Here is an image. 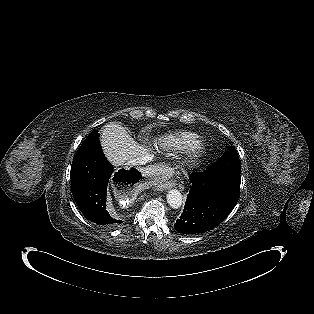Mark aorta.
<instances>
[{
    "mask_svg": "<svg viewBox=\"0 0 314 314\" xmlns=\"http://www.w3.org/2000/svg\"><path fill=\"white\" fill-rule=\"evenodd\" d=\"M167 203L173 209H178L183 203L182 194L177 189H171L167 193Z\"/></svg>",
    "mask_w": 314,
    "mask_h": 314,
    "instance_id": "762f6f07",
    "label": "aorta"
}]
</instances>
